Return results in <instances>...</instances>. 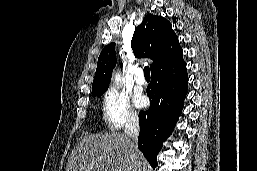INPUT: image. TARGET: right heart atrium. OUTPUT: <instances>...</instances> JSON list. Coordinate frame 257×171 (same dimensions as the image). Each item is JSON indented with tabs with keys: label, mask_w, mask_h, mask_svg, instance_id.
<instances>
[{
	"label": "right heart atrium",
	"mask_w": 257,
	"mask_h": 171,
	"mask_svg": "<svg viewBox=\"0 0 257 171\" xmlns=\"http://www.w3.org/2000/svg\"><path fill=\"white\" fill-rule=\"evenodd\" d=\"M101 111L105 125L113 130L135 124L138 121V114L128 94L116 88H111L104 93Z\"/></svg>",
	"instance_id": "d8ad5b80"
}]
</instances>
